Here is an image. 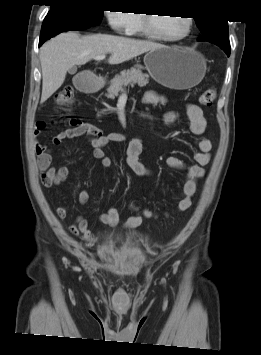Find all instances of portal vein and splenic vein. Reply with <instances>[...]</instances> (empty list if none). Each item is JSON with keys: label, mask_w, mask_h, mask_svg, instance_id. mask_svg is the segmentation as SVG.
<instances>
[{"label": "portal vein and splenic vein", "mask_w": 261, "mask_h": 355, "mask_svg": "<svg viewBox=\"0 0 261 355\" xmlns=\"http://www.w3.org/2000/svg\"><path fill=\"white\" fill-rule=\"evenodd\" d=\"M105 57H106L105 55H98V56L94 57V59L97 61H100V60L105 59Z\"/></svg>", "instance_id": "portal-vein-and-splenic-vein-1"}]
</instances>
